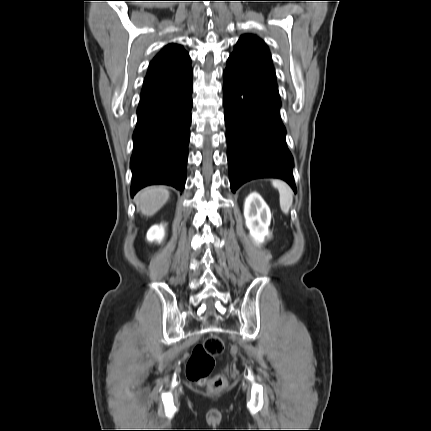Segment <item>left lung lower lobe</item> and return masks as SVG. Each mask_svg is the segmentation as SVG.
I'll use <instances>...</instances> for the list:
<instances>
[{"mask_svg":"<svg viewBox=\"0 0 431 431\" xmlns=\"http://www.w3.org/2000/svg\"><path fill=\"white\" fill-rule=\"evenodd\" d=\"M223 92L232 192L257 178L283 179L296 192L277 85L227 66Z\"/></svg>","mask_w":431,"mask_h":431,"instance_id":"obj_1","label":"left lung lower lobe"}]
</instances>
